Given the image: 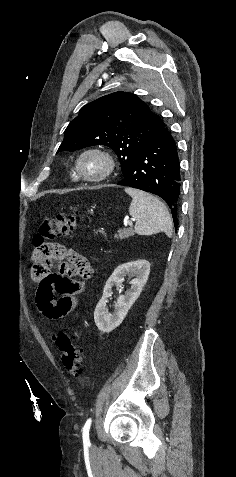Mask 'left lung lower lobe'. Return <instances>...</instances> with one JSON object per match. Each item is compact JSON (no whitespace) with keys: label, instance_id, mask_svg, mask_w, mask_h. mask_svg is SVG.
Segmentation results:
<instances>
[{"label":"left lung lower lobe","instance_id":"0a47b994","mask_svg":"<svg viewBox=\"0 0 236 477\" xmlns=\"http://www.w3.org/2000/svg\"><path fill=\"white\" fill-rule=\"evenodd\" d=\"M180 181L177 146L169 130L161 121L152 138L134 156L126 175L117 184L161 197L170 207L177 229Z\"/></svg>","mask_w":236,"mask_h":477}]
</instances>
